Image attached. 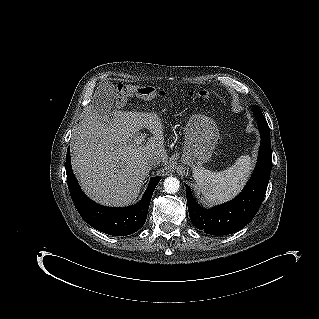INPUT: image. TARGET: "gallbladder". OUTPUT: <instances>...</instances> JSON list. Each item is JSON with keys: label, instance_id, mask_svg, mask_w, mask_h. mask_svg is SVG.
<instances>
[{"label": "gallbladder", "instance_id": "gallbladder-1", "mask_svg": "<svg viewBox=\"0 0 319 319\" xmlns=\"http://www.w3.org/2000/svg\"><path fill=\"white\" fill-rule=\"evenodd\" d=\"M99 93L96 94L93 100L94 109L103 116L104 114H109L113 107V95L111 92L103 94V90L100 89Z\"/></svg>", "mask_w": 319, "mask_h": 319}]
</instances>
